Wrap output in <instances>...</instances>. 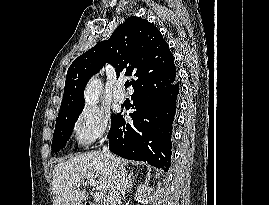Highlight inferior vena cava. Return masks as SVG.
<instances>
[{
	"label": "inferior vena cava",
	"mask_w": 269,
	"mask_h": 205,
	"mask_svg": "<svg viewBox=\"0 0 269 205\" xmlns=\"http://www.w3.org/2000/svg\"><path fill=\"white\" fill-rule=\"evenodd\" d=\"M102 153L109 160L113 176L107 199L104 205H117L125 196L128 178L123 163L112 155L107 145H103Z\"/></svg>",
	"instance_id": "1"
}]
</instances>
